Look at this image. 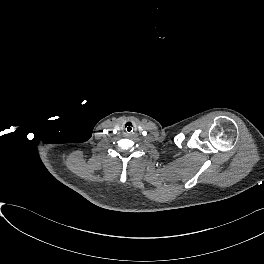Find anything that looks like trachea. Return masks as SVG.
Returning <instances> with one entry per match:
<instances>
[{
    "mask_svg": "<svg viewBox=\"0 0 264 264\" xmlns=\"http://www.w3.org/2000/svg\"><path fill=\"white\" fill-rule=\"evenodd\" d=\"M124 132L131 134L134 131V124L132 122H126L123 126Z\"/></svg>",
    "mask_w": 264,
    "mask_h": 264,
    "instance_id": "trachea-1",
    "label": "trachea"
}]
</instances>
